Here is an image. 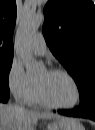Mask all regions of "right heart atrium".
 <instances>
[{"instance_id":"d8ad5b80","label":"right heart atrium","mask_w":95,"mask_h":130,"mask_svg":"<svg viewBox=\"0 0 95 130\" xmlns=\"http://www.w3.org/2000/svg\"><path fill=\"white\" fill-rule=\"evenodd\" d=\"M8 88L11 94L22 102H29L36 90V84L19 64H13L8 74Z\"/></svg>"}]
</instances>
